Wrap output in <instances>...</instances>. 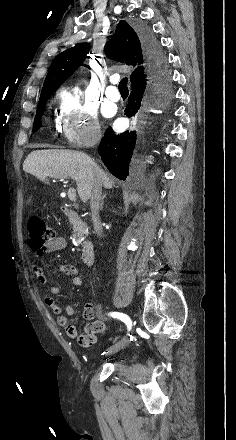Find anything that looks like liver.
Masks as SVG:
<instances>
[{
    "label": "liver",
    "mask_w": 236,
    "mask_h": 440,
    "mask_svg": "<svg viewBox=\"0 0 236 440\" xmlns=\"http://www.w3.org/2000/svg\"><path fill=\"white\" fill-rule=\"evenodd\" d=\"M23 170L46 184H49V176L71 177L76 181L77 192L84 203L90 198L97 177L106 189L114 186V181L87 154L79 151H32L23 163Z\"/></svg>",
    "instance_id": "liver-1"
}]
</instances>
